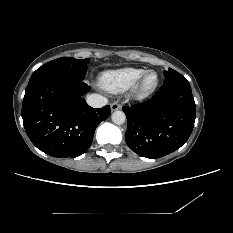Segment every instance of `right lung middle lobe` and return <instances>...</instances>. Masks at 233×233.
<instances>
[{"instance_id":"obj_1","label":"right lung middle lobe","mask_w":233,"mask_h":233,"mask_svg":"<svg viewBox=\"0 0 233 233\" xmlns=\"http://www.w3.org/2000/svg\"><path fill=\"white\" fill-rule=\"evenodd\" d=\"M90 58L75 59L62 57L52 60L39 67L31 76V79L52 74H64L79 80H83L87 71V64Z\"/></svg>"}]
</instances>
